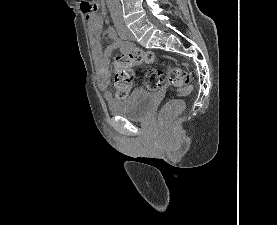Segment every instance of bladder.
Returning <instances> with one entry per match:
<instances>
[{"label":"bladder","mask_w":277,"mask_h":225,"mask_svg":"<svg viewBox=\"0 0 277 225\" xmlns=\"http://www.w3.org/2000/svg\"><path fill=\"white\" fill-rule=\"evenodd\" d=\"M153 108V95L145 90H134L122 99L108 106L111 115L123 117L131 121L145 120Z\"/></svg>","instance_id":"obj_1"}]
</instances>
